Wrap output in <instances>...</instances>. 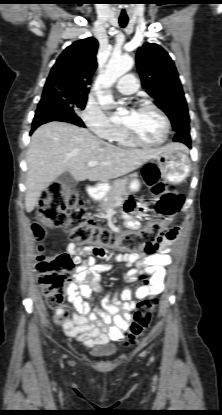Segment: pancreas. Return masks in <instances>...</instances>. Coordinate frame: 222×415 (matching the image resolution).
I'll use <instances>...</instances> for the list:
<instances>
[{
	"instance_id": "cf45deb5",
	"label": "pancreas",
	"mask_w": 222,
	"mask_h": 415,
	"mask_svg": "<svg viewBox=\"0 0 222 415\" xmlns=\"http://www.w3.org/2000/svg\"><path fill=\"white\" fill-rule=\"evenodd\" d=\"M135 175H131L133 177ZM129 178L125 177L123 179H118L114 181L111 187L106 192L103 200L100 203V208L102 211L106 212L110 208L116 207L121 201L126 198L129 193L126 189Z\"/></svg>"
}]
</instances>
